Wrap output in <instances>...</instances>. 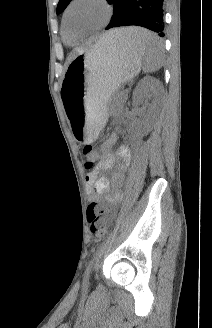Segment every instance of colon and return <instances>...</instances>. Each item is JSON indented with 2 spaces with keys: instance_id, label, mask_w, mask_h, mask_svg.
<instances>
[{
  "instance_id": "1",
  "label": "colon",
  "mask_w": 212,
  "mask_h": 328,
  "mask_svg": "<svg viewBox=\"0 0 212 328\" xmlns=\"http://www.w3.org/2000/svg\"><path fill=\"white\" fill-rule=\"evenodd\" d=\"M82 155L86 160V168L91 169L97 159L95 148L92 145H85L82 148ZM104 212L105 208L96 202L91 203L87 208V219L91 225V232L99 238L106 233L105 228L99 222Z\"/></svg>"
}]
</instances>
